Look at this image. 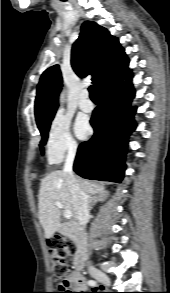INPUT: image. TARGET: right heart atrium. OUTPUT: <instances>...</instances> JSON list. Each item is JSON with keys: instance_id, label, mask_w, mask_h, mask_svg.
<instances>
[{"instance_id": "right-heart-atrium-1", "label": "right heart atrium", "mask_w": 170, "mask_h": 293, "mask_svg": "<svg viewBox=\"0 0 170 293\" xmlns=\"http://www.w3.org/2000/svg\"><path fill=\"white\" fill-rule=\"evenodd\" d=\"M77 143L70 131V121L62 114L53 117L46 140V155L52 164L61 162L65 156L76 153Z\"/></svg>"}]
</instances>
